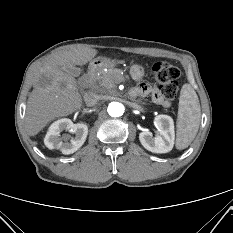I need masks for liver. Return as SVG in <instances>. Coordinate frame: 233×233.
I'll return each mask as SVG.
<instances>
[{
  "mask_svg": "<svg viewBox=\"0 0 233 233\" xmlns=\"http://www.w3.org/2000/svg\"><path fill=\"white\" fill-rule=\"evenodd\" d=\"M96 54V49L80 45L52 56L36 71L25 115V127L30 136L36 135L52 120L81 109L82 96L69 69L87 64Z\"/></svg>",
  "mask_w": 233,
  "mask_h": 233,
  "instance_id": "liver-1",
  "label": "liver"
}]
</instances>
